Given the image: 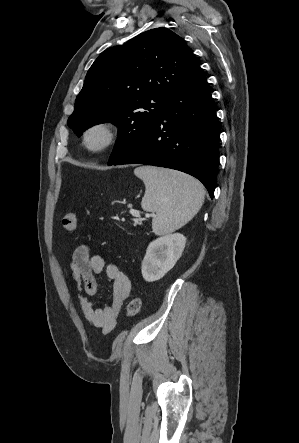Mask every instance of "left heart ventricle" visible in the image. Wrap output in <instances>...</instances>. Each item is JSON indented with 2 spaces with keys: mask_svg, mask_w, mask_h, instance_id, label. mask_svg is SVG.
Listing matches in <instances>:
<instances>
[{
  "mask_svg": "<svg viewBox=\"0 0 299 443\" xmlns=\"http://www.w3.org/2000/svg\"><path fill=\"white\" fill-rule=\"evenodd\" d=\"M103 140V134L101 132H95L90 136V144L98 145Z\"/></svg>",
  "mask_w": 299,
  "mask_h": 443,
  "instance_id": "b2bd125f",
  "label": "left heart ventricle"
}]
</instances>
